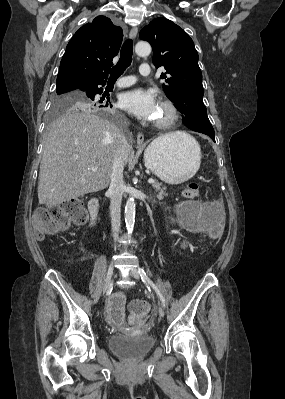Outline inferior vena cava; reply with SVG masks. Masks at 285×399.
<instances>
[{
  "mask_svg": "<svg viewBox=\"0 0 285 399\" xmlns=\"http://www.w3.org/2000/svg\"><path fill=\"white\" fill-rule=\"evenodd\" d=\"M126 145L127 141L125 136L123 135L119 140V147L117 149L114 158L110 186L108 189L110 195V202H111L110 216H111L113 238L115 241V249L121 227V203H122V195L124 190L123 170L126 161V154H125Z\"/></svg>",
  "mask_w": 285,
  "mask_h": 399,
  "instance_id": "1",
  "label": "inferior vena cava"
}]
</instances>
